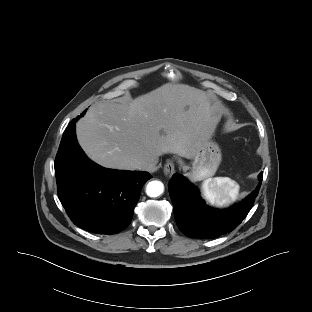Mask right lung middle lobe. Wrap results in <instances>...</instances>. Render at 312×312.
I'll list each match as a JSON object with an SVG mask.
<instances>
[{"instance_id":"obj_1","label":"right lung middle lobe","mask_w":312,"mask_h":312,"mask_svg":"<svg viewBox=\"0 0 312 312\" xmlns=\"http://www.w3.org/2000/svg\"><path fill=\"white\" fill-rule=\"evenodd\" d=\"M84 113H85V111H84L80 116H78L76 119L72 120L70 123L76 122V120H77L78 118H80Z\"/></svg>"}]
</instances>
